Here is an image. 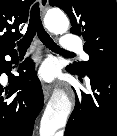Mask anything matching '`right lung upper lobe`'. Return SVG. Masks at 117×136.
Wrapping results in <instances>:
<instances>
[{"instance_id": "right-lung-upper-lobe-1", "label": "right lung upper lobe", "mask_w": 117, "mask_h": 136, "mask_svg": "<svg viewBox=\"0 0 117 136\" xmlns=\"http://www.w3.org/2000/svg\"><path fill=\"white\" fill-rule=\"evenodd\" d=\"M34 0H0V56L11 53L22 34L19 26L27 22Z\"/></svg>"}]
</instances>
